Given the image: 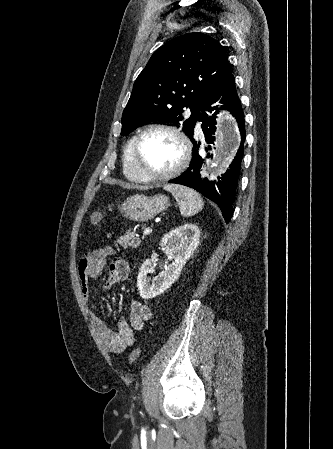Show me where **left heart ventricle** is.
I'll return each mask as SVG.
<instances>
[{
    "label": "left heart ventricle",
    "mask_w": 333,
    "mask_h": 449,
    "mask_svg": "<svg viewBox=\"0 0 333 449\" xmlns=\"http://www.w3.org/2000/svg\"><path fill=\"white\" fill-rule=\"evenodd\" d=\"M181 158L179 142L163 131H152L142 140L140 165L149 174H162L173 169Z\"/></svg>",
    "instance_id": "obj_1"
}]
</instances>
